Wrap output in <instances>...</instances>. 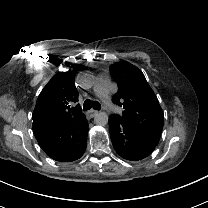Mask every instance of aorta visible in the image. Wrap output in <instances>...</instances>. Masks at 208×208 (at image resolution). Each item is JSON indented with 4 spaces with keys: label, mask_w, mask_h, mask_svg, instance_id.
<instances>
[{
    "label": "aorta",
    "mask_w": 208,
    "mask_h": 208,
    "mask_svg": "<svg viewBox=\"0 0 208 208\" xmlns=\"http://www.w3.org/2000/svg\"><path fill=\"white\" fill-rule=\"evenodd\" d=\"M94 123L100 126H104L108 123V115L105 112H97L94 116Z\"/></svg>",
    "instance_id": "obj_1"
}]
</instances>
